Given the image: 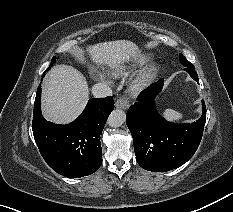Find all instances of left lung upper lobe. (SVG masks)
<instances>
[{
  "mask_svg": "<svg viewBox=\"0 0 233 212\" xmlns=\"http://www.w3.org/2000/svg\"><path fill=\"white\" fill-rule=\"evenodd\" d=\"M179 57L181 63L186 67L184 70L187 71V68L195 70L194 66L182 54H180Z\"/></svg>",
  "mask_w": 233,
  "mask_h": 212,
  "instance_id": "1",
  "label": "left lung upper lobe"
}]
</instances>
